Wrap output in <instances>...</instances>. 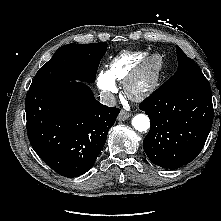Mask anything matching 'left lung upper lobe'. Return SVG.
<instances>
[{
	"instance_id": "1",
	"label": "left lung upper lobe",
	"mask_w": 221,
	"mask_h": 221,
	"mask_svg": "<svg viewBox=\"0 0 221 221\" xmlns=\"http://www.w3.org/2000/svg\"><path fill=\"white\" fill-rule=\"evenodd\" d=\"M178 68L175 74L167 80L163 87H177V86H203L210 87L208 80L197 64L176 46Z\"/></svg>"
}]
</instances>
